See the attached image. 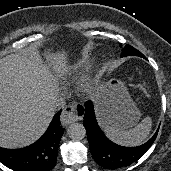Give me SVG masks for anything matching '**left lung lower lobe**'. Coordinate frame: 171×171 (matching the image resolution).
I'll return each instance as SVG.
<instances>
[{"label":"left lung lower lobe","instance_id":"1","mask_svg":"<svg viewBox=\"0 0 171 171\" xmlns=\"http://www.w3.org/2000/svg\"><path fill=\"white\" fill-rule=\"evenodd\" d=\"M83 125L94 160L109 170H116L137 161L151 147L158 133L157 130L148 142L138 147H122L114 144L98 126L91 101L85 103Z\"/></svg>","mask_w":171,"mask_h":171}]
</instances>
